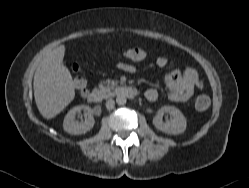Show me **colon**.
<instances>
[{"label":"colon","instance_id":"obj_1","mask_svg":"<svg viewBox=\"0 0 249 188\" xmlns=\"http://www.w3.org/2000/svg\"><path fill=\"white\" fill-rule=\"evenodd\" d=\"M129 55L134 59H143L148 57V53L140 48H132L123 53V56ZM72 70L76 74L74 77V86L80 91H84L86 88V80L79 74V66L77 64L72 65ZM210 106V99L208 96L202 95L196 99L195 107L199 111H204Z\"/></svg>","mask_w":249,"mask_h":188}]
</instances>
